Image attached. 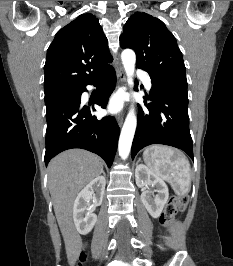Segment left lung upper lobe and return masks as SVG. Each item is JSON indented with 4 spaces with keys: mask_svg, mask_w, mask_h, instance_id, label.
Instances as JSON below:
<instances>
[{
    "mask_svg": "<svg viewBox=\"0 0 233 266\" xmlns=\"http://www.w3.org/2000/svg\"><path fill=\"white\" fill-rule=\"evenodd\" d=\"M120 46L136 52V65L151 78L186 77L182 53L173 34L158 18L136 12L123 27Z\"/></svg>",
    "mask_w": 233,
    "mask_h": 266,
    "instance_id": "1",
    "label": "left lung upper lobe"
}]
</instances>
